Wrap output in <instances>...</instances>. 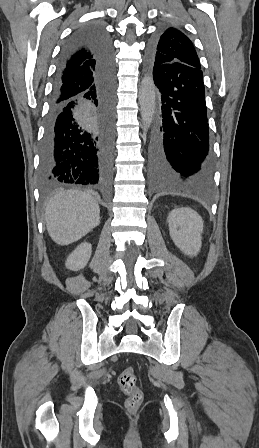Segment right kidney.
Returning <instances> with one entry per match:
<instances>
[{
  "instance_id": "ca27d5eb",
  "label": "right kidney",
  "mask_w": 259,
  "mask_h": 448,
  "mask_svg": "<svg viewBox=\"0 0 259 448\" xmlns=\"http://www.w3.org/2000/svg\"><path fill=\"white\" fill-rule=\"evenodd\" d=\"M92 252V246L89 242H83L80 246H77L76 250L70 254L67 258L65 264L68 270H73V272H78L87 266Z\"/></svg>"
}]
</instances>
